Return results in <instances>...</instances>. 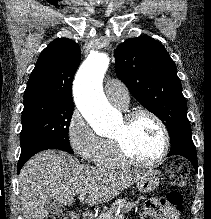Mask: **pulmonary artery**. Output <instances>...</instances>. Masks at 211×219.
Returning <instances> with one entry per match:
<instances>
[{"mask_svg":"<svg viewBox=\"0 0 211 219\" xmlns=\"http://www.w3.org/2000/svg\"><path fill=\"white\" fill-rule=\"evenodd\" d=\"M106 96L111 104L124 109L130 101L129 91L119 80L110 79L104 85Z\"/></svg>","mask_w":211,"mask_h":219,"instance_id":"obj_1","label":"pulmonary artery"}]
</instances>
